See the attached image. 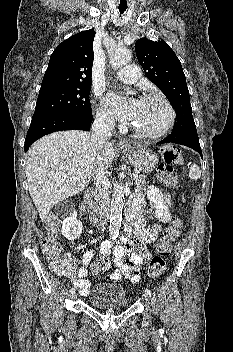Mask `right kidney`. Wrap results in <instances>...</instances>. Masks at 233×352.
<instances>
[{"mask_svg":"<svg viewBox=\"0 0 233 352\" xmlns=\"http://www.w3.org/2000/svg\"><path fill=\"white\" fill-rule=\"evenodd\" d=\"M82 222L77 220V212H73L69 217L65 218L61 228L62 235L68 240H75L82 233Z\"/></svg>","mask_w":233,"mask_h":352,"instance_id":"obj_1","label":"right kidney"}]
</instances>
